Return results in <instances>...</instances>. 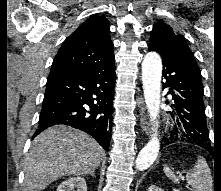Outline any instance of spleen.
I'll use <instances>...</instances> for the list:
<instances>
[{"label":"spleen","mask_w":221,"mask_h":191,"mask_svg":"<svg viewBox=\"0 0 221 191\" xmlns=\"http://www.w3.org/2000/svg\"><path fill=\"white\" fill-rule=\"evenodd\" d=\"M164 173L173 182L178 183V178L169 167H164ZM186 180L194 188V191H213L211 170L206 160L201 156L197 157V161L193 165V170L186 172Z\"/></svg>","instance_id":"1"}]
</instances>
